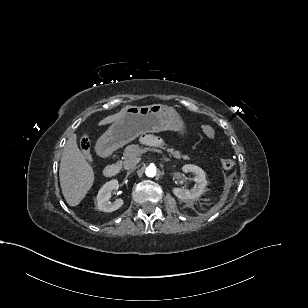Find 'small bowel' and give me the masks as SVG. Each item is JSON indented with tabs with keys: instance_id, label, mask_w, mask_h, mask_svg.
I'll return each instance as SVG.
<instances>
[{
	"instance_id": "c3829d8e",
	"label": "small bowel",
	"mask_w": 308,
	"mask_h": 308,
	"mask_svg": "<svg viewBox=\"0 0 308 308\" xmlns=\"http://www.w3.org/2000/svg\"><path fill=\"white\" fill-rule=\"evenodd\" d=\"M141 141L142 143L148 144V145L158 146L162 144V140L159 137L155 135H150V134L142 136Z\"/></svg>"
}]
</instances>
